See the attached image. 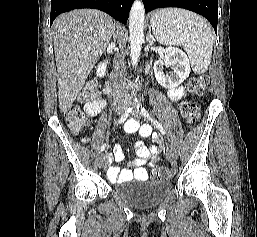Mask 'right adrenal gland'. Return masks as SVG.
I'll return each mask as SVG.
<instances>
[{
  "mask_svg": "<svg viewBox=\"0 0 257 237\" xmlns=\"http://www.w3.org/2000/svg\"><path fill=\"white\" fill-rule=\"evenodd\" d=\"M113 40H114V42L116 41V34L115 33L113 34Z\"/></svg>",
  "mask_w": 257,
  "mask_h": 237,
  "instance_id": "obj_1",
  "label": "right adrenal gland"
}]
</instances>
